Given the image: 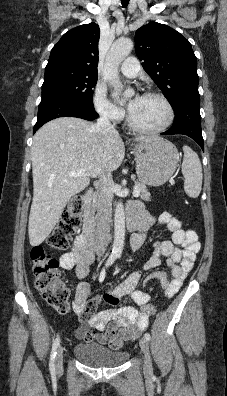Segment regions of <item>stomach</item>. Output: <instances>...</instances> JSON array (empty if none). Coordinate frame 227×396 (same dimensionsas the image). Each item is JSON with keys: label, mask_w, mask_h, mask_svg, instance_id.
Here are the masks:
<instances>
[{"label": "stomach", "mask_w": 227, "mask_h": 396, "mask_svg": "<svg viewBox=\"0 0 227 396\" xmlns=\"http://www.w3.org/2000/svg\"><path fill=\"white\" fill-rule=\"evenodd\" d=\"M136 173L141 183L161 186L174 174L178 162L177 148L168 140L153 136L134 146Z\"/></svg>", "instance_id": "stomach-1"}]
</instances>
